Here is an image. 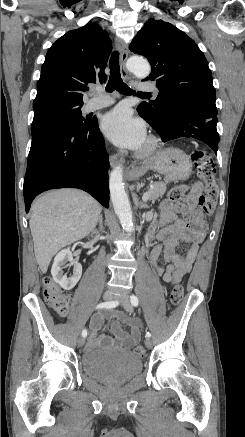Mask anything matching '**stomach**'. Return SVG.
<instances>
[{
    "label": "stomach",
    "mask_w": 245,
    "mask_h": 437,
    "mask_svg": "<svg viewBox=\"0 0 245 437\" xmlns=\"http://www.w3.org/2000/svg\"><path fill=\"white\" fill-rule=\"evenodd\" d=\"M148 170L163 174L167 182L185 180L191 175L192 163L183 151L177 148H166L158 151L147 163L133 168L129 173V179H138Z\"/></svg>",
    "instance_id": "0dacf381"
}]
</instances>
